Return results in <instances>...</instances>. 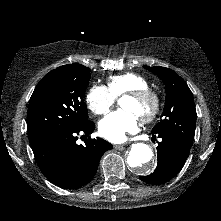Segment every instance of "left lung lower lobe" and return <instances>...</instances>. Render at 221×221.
Here are the masks:
<instances>
[{
  "mask_svg": "<svg viewBox=\"0 0 221 221\" xmlns=\"http://www.w3.org/2000/svg\"><path fill=\"white\" fill-rule=\"evenodd\" d=\"M156 136L161 138L157 147V167L150 175L140 177L142 181L154 185L168 182L176 176L184 166L190 152V148L171 135L153 133V137Z\"/></svg>",
  "mask_w": 221,
  "mask_h": 221,
  "instance_id": "left-lung-lower-lobe-1",
  "label": "left lung lower lobe"
}]
</instances>
